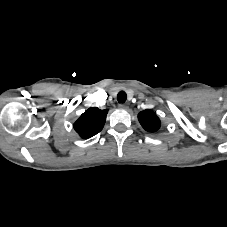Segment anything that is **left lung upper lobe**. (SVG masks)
<instances>
[{"mask_svg": "<svg viewBox=\"0 0 227 227\" xmlns=\"http://www.w3.org/2000/svg\"><path fill=\"white\" fill-rule=\"evenodd\" d=\"M142 127L148 132H155L160 128L161 122L157 115L151 110H144L138 114Z\"/></svg>", "mask_w": 227, "mask_h": 227, "instance_id": "obj_1", "label": "left lung upper lobe"}]
</instances>
